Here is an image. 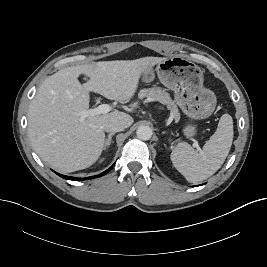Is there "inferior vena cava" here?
<instances>
[{"instance_id": "1", "label": "inferior vena cava", "mask_w": 267, "mask_h": 267, "mask_svg": "<svg viewBox=\"0 0 267 267\" xmlns=\"http://www.w3.org/2000/svg\"><path fill=\"white\" fill-rule=\"evenodd\" d=\"M125 128H127L126 123L118 119L109 120L104 125V130L111 133L123 131Z\"/></svg>"}]
</instances>
